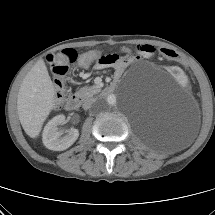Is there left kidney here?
<instances>
[{"label":"left kidney","instance_id":"1","mask_svg":"<svg viewBox=\"0 0 215 215\" xmlns=\"http://www.w3.org/2000/svg\"><path fill=\"white\" fill-rule=\"evenodd\" d=\"M170 73L172 75H174L176 78H178V83L180 85H185L187 83V81H188V74L186 72H183L177 66H172L170 68Z\"/></svg>","mask_w":215,"mask_h":215}]
</instances>
